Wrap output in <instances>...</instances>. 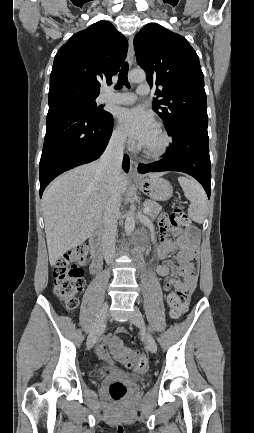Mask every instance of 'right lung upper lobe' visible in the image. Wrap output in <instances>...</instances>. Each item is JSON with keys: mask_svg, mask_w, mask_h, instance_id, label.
Masks as SVG:
<instances>
[{"mask_svg": "<svg viewBox=\"0 0 254 433\" xmlns=\"http://www.w3.org/2000/svg\"><path fill=\"white\" fill-rule=\"evenodd\" d=\"M127 50V39L108 21L74 34L55 56L49 105L68 99H96L101 83H112Z\"/></svg>", "mask_w": 254, "mask_h": 433, "instance_id": "cb5924a9", "label": "right lung upper lobe"}]
</instances>
